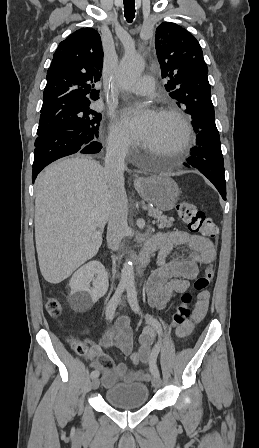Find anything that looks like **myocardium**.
<instances>
[{"mask_svg":"<svg viewBox=\"0 0 259 448\" xmlns=\"http://www.w3.org/2000/svg\"><path fill=\"white\" fill-rule=\"evenodd\" d=\"M159 116H173L180 125V135L177 141L165 150V154L181 158L191 138V125L185 114L175 105L166 103L159 108Z\"/></svg>","mask_w":259,"mask_h":448,"instance_id":"f54148a6","label":"myocardium"}]
</instances>
